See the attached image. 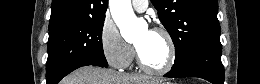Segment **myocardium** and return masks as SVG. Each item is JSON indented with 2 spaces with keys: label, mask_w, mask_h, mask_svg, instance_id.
I'll return each mask as SVG.
<instances>
[{
  "label": "myocardium",
  "mask_w": 260,
  "mask_h": 84,
  "mask_svg": "<svg viewBox=\"0 0 260 84\" xmlns=\"http://www.w3.org/2000/svg\"><path fill=\"white\" fill-rule=\"evenodd\" d=\"M150 32L160 34L164 37L168 44L169 48V55L166 64L161 68H152L149 67L143 60L141 53L137 46H135V54L137 59V64L139 68L144 71L145 73L151 74V75H165L169 73L175 64L176 56H177V48L174 41V38L172 34L164 27H154L150 30Z\"/></svg>",
  "instance_id": "myocardium-1"
}]
</instances>
